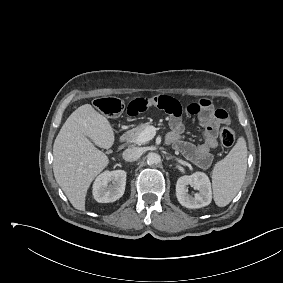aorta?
Instances as JSON below:
<instances>
[{
  "label": "aorta",
  "instance_id": "aorta-1",
  "mask_svg": "<svg viewBox=\"0 0 283 283\" xmlns=\"http://www.w3.org/2000/svg\"><path fill=\"white\" fill-rule=\"evenodd\" d=\"M161 162V157L157 153H149L147 155V163L148 165H155Z\"/></svg>",
  "mask_w": 283,
  "mask_h": 283
}]
</instances>
